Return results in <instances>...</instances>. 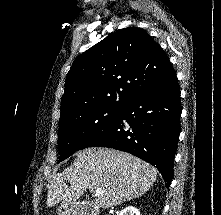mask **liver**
<instances>
[{
	"instance_id": "6515ba94",
	"label": "liver",
	"mask_w": 221,
	"mask_h": 215,
	"mask_svg": "<svg viewBox=\"0 0 221 215\" xmlns=\"http://www.w3.org/2000/svg\"><path fill=\"white\" fill-rule=\"evenodd\" d=\"M157 170L143 160L109 148L80 151L74 162L53 176L47 194V206L75 202L83 192L101 189L93 204L111 208L145 194L157 178ZM65 181H69L70 186Z\"/></svg>"
}]
</instances>
